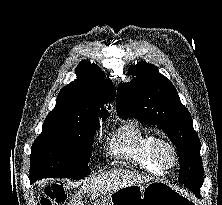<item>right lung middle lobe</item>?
I'll return each mask as SVG.
<instances>
[{"label": "right lung middle lobe", "mask_w": 222, "mask_h": 205, "mask_svg": "<svg viewBox=\"0 0 222 205\" xmlns=\"http://www.w3.org/2000/svg\"><path fill=\"white\" fill-rule=\"evenodd\" d=\"M98 128L99 120L45 121L42 133L31 147L30 181L49 177L77 180L88 175Z\"/></svg>", "instance_id": "right-lung-middle-lobe-1"}]
</instances>
